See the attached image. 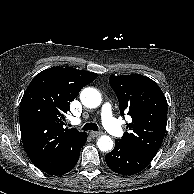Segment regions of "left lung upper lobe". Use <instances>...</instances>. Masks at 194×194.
<instances>
[{
    "mask_svg": "<svg viewBox=\"0 0 194 194\" xmlns=\"http://www.w3.org/2000/svg\"><path fill=\"white\" fill-rule=\"evenodd\" d=\"M109 83L117 95L120 113L132 118V122L127 123L129 132L117 140L155 156L167 124V101L162 90L140 74L110 76Z\"/></svg>",
    "mask_w": 194,
    "mask_h": 194,
    "instance_id": "1",
    "label": "left lung upper lobe"
}]
</instances>
